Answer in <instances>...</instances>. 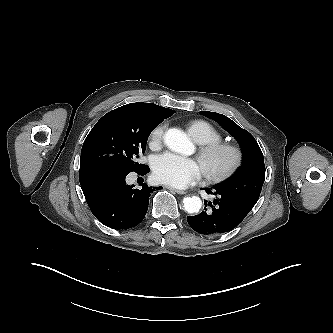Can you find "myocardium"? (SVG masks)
Masks as SVG:
<instances>
[{"label":"myocardium","instance_id":"obj_1","mask_svg":"<svg viewBox=\"0 0 333 333\" xmlns=\"http://www.w3.org/2000/svg\"><path fill=\"white\" fill-rule=\"evenodd\" d=\"M221 153L230 155L229 163L219 171L209 169V161ZM198 160L205 178L212 183H221L231 178L241 168L244 161V151L238 144L220 141L201 145L198 151Z\"/></svg>","mask_w":333,"mask_h":333}]
</instances>
